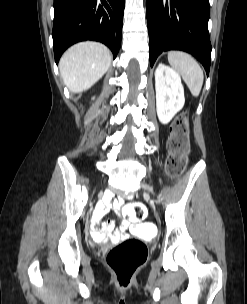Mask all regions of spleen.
<instances>
[{"label":"spleen","instance_id":"3e777b00","mask_svg":"<svg viewBox=\"0 0 247 304\" xmlns=\"http://www.w3.org/2000/svg\"><path fill=\"white\" fill-rule=\"evenodd\" d=\"M170 65L182 76L191 94L199 96L202 89L204 75L200 65L189 54L182 51L168 53Z\"/></svg>","mask_w":247,"mask_h":304}]
</instances>
